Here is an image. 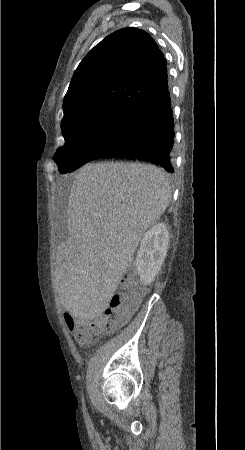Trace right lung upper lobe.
I'll use <instances>...</instances> for the list:
<instances>
[{
	"label": "right lung upper lobe",
	"mask_w": 245,
	"mask_h": 450,
	"mask_svg": "<svg viewBox=\"0 0 245 450\" xmlns=\"http://www.w3.org/2000/svg\"><path fill=\"white\" fill-rule=\"evenodd\" d=\"M166 60L148 33L120 29L97 44L74 72L64 117L95 104L139 109L167 87Z\"/></svg>",
	"instance_id": "1"
}]
</instances>
